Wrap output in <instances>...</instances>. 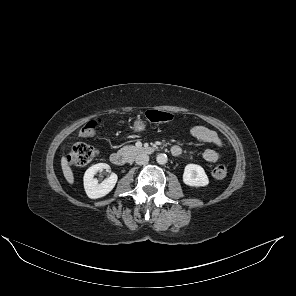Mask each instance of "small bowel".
Instances as JSON below:
<instances>
[{"label":"small bowel","mask_w":296,"mask_h":296,"mask_svg":"<svg viewBox=\"0 0 296 296\" xmlns=\"http://www.w3.org/2000/svg\"><path fill=\"white\" fill-rule=\"evenodd\" d=\"M189 137L192 139L205 143V144H212L218 148H222L223 143L219 136L213 130H210L204 126H194L189 130L188 133ZM181 148L177 145L171 147V153L174 156H178L181 154ZM202 157L205 161L215 163L221 158V154L214 149H206Z\"/></svg>","instance_id":"c3829d8e"}]
</instances>
